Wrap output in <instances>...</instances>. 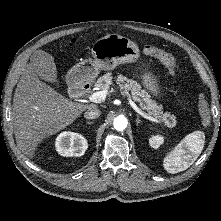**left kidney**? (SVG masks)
I'll return each instance as SVG.
<instances>
[{
    "label": "left kidney",
    "instance_id": "1",
    "mask_svg": "<svg viewBox=\"0 0 221 221\" xmlns=\"http://www.w3.org/2000/svg\"><path fill=\"white\" fill-rule=\"evenodd\" d=\"M163 142H164V138L160 135L152 136L149 139L150 146L155 149L159 148Z\"/></svg>",
    "mask_w": 221,
    "mask_h": 221
}]
</instances>
